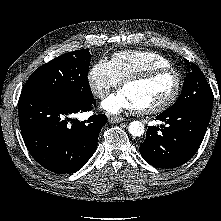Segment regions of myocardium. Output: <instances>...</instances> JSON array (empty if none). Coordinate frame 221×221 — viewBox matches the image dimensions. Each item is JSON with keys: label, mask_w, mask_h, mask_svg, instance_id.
Here are the masks:
<instances>
[{"label": "myocardium", "mask_w": 221, "mask_h": 221, "mask_svg": "<svg viewBox=\"0 0 221 221\" xmlns=\"http://www.w3.org/2000/svg\"><path fill=\"white\" fill-rule=\"evenodd\" d=\"M163 74H173L175 76L176 83H175L174 91L166 100H164L160 104H157L152 107L144 108V109H139L138 112L140 114H148V115L157 114V113L165 111L171 105H173L175 101L178 99L182 90L183 78H182L181 73L173 67H158V68H152V69L131 75L122 81L121 87L123 89L126 85L133 84V83L146 82Z\"/></svg>", "instance_id": "obj_1"}]
</instances>
